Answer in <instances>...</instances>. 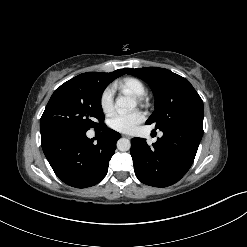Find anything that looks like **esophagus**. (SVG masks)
<instances>
[{"instance_id": "1", "label": "esophagus", "mask_w": 247, "mask_h": 247, "mask_svg": "<svg viewBox=\"0 0 247 247\" xmlns=\"http://www.w3.org/2000/svg\"><path fill=\"white\" fill-rule=\"evenodd\" d=\"M122 136H123V137H126V138H129V139L131 138V136L126 135V134H123Z\"/></svg>"}]
</instances>
